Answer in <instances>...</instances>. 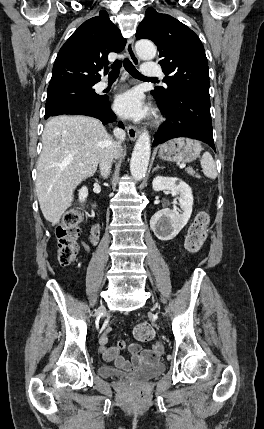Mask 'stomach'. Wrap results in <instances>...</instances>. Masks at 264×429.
<instances>
[{
  "mask_svg": "<svg viewBox=\"0 0 264 429\" xmlns=\"http://www.w3.org/2000/svg\"><path fill=\"white\" fill-rule=\"evenodd\" d=\"M201 150L202 146L198 140L181 137L162 144L159 157L165 161L187 163L198 158Z\"/></svg>",
  "mask_w": 264,
  "mask_h": 429,
  "instance_id": "0dacf381",
  "label": "stomach"
}]
</instances>
